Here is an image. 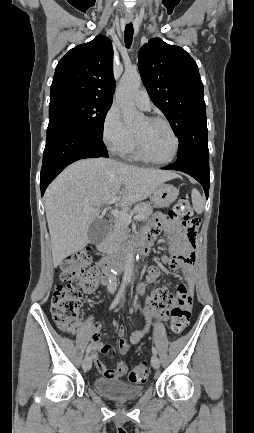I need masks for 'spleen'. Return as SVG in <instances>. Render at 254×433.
<instances>
[{
	"label": "spleen",
	"instance_id": "spleen-1",
	"mask_svg": "<svg viewBox=\"0 0 254 433\" xmlns=\"http://www.w3.org/2000/svg\"><path fill=\"white\" fill-rule=\"evenodd\" d=\"M193 208L197 214H201L204 210V201L198 190L193 189L191 192Z\"/></svg>",
	"mask_w": 254,
	"mask_h": 433
}]
</instances>
